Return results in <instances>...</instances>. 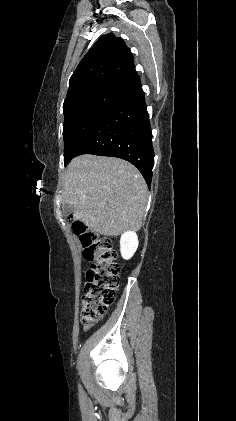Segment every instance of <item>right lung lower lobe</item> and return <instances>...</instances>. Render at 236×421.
<instances>
[{
  "instance_id": "98d812e1",
  "label": "right lung lower lobe",
  "mask_w": 236,
  "mask_h": 421,
  "mask_svg": "<svg viewBox=\"0 0 236 421\" xmlns=\"http://www.w3.org/2000/svg\"><path fill=\"white\" fill-rule=\"evenodd\" d=\"M121 87L128 91L126 98L81 139L72 159L81 154L124 159L139 169L150 187L154 151L140 77L130 76Z\"/></svg>"
}]
</instances>
